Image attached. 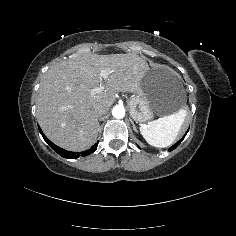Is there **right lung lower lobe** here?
I'll return each instance as SVG.
<instances>
[{
	"mask_svg": "<svg viewBox=\"0 0 236 236\" xmlns=\"http://www.w3.org/2000/svg\"><path fill=\"white\" fill-rule=\"evenodd\" d=\"M39 131L42 135V137L44 138V140L49 144V146L56 151L59 155H61L64 158H70V159H74V158H78L80 155L81 156H86L91 154L92 152H94L97 149V145L98 142L96 144H94L89 150H86L84 152H71V151H67L64 150L58 146H56L54 143H52L41 131V129L39 128Z\"/></svg>",
	"mask_w": 236,
	"mask_h": 236,
	"instance_id": "98d812e1",
	"label": "right lung lower lobe"
}]
</instances>
